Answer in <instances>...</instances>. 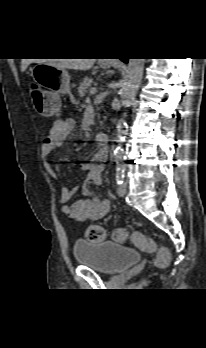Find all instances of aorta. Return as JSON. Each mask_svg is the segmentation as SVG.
<instances>
[{
  "mask_svg": "<svg viewBox=\"0 0 206 348\" xmlns=\"http://www.w3.org/2000/svg\"><path fill=\"white\" fill-rule=\"evenodd\" d=\"M145 59H129L126 72L123 77L122 87L120 90L121 103L124 107L129 106L135 99L137 89L141 83L143 76ZM125 114L118 120L117 125V141L114 155L119 158L123 155V148L120 142L125 136Z\"/></svg>",
  "mask_w": 206,
  "mask_h": 348,
  "instance_id": "1",
  "label": "aorta"
}]
</instances>
